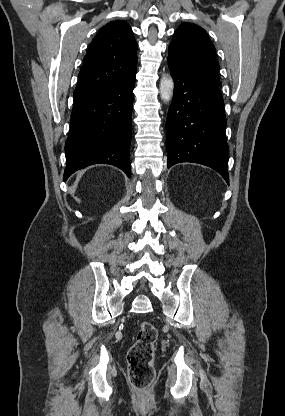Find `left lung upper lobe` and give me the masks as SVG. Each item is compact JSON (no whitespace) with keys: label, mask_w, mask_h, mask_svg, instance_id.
I'll return each instance as SVG.
<instances>
[{"label":"left lung upper lobe","mask_w":285,"mask_h":416,"mask_svg":"<svg viewBox=\"0 0 285 416\" xmlns=\"http://www.w3.org/2000/svg\"><path fill=\"white\" fill-rule=\"evenodd\" d=\"M168 53L169 63L204 83L219 87L215 47L203 28L192 23L181 24Z\"/></svg>","instance_id":"5c2ea615"}]
</instances>
